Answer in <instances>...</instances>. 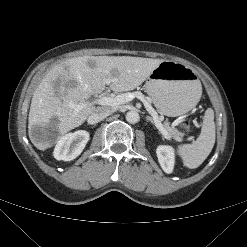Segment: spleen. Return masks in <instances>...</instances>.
I'll list each match as a JSON object with an SVG mask.
<instances>
[{
  "mask_svg": "<svg viewBox=\"0 0 247 247\" xmlns=\"http://www.w3.org/2000/svg\"><path fill=\"white\" fill-rule=\"evenodd\" d=\"M215 143L214 112L206 110L201 133L193 144L178 146V154L190 169L200 166L208 157Z\"/></svg>",
  "mask_w": 247,
  "mask_h": 247,
  "instance_id": "spleen-1",
  "label": "spleen"
}]
</instances>
